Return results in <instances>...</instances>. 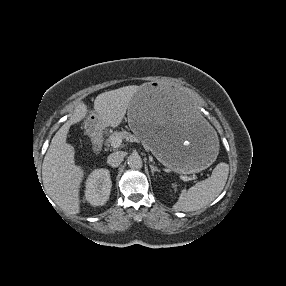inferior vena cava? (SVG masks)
<instances>
[{"instance_id":"inferior-vena-cava-1","label":"inferior vena cava","mask_w":286,"mask_h":286,"mask_svg":"<svg viewBox=\"0 0 286 286\" xmlns=\"http://www.w3.org/2000/svg\"><path fill=\"white\" fill-rule=\"evenodd\" d=\"M123 160H124V153L120 152V151H117V152L111 153L108 156L107 163L111 167H118Z\"/></svg>"}]
</instances>
